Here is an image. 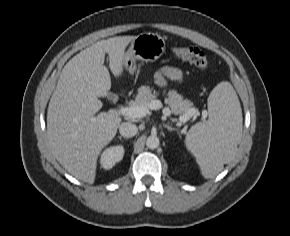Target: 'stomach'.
<instances>
[{"label": "stomach", "instance_id": "stomach-1", "mask_svg": "<svg viewBox=\"0 0 290 236\" xmlns=\"http://www.w3.org/2000/svg\"><path fill=\"white\" fill-rule=\"evenodd\" d=\"M164 39L155 33H141L130 43L125 53L124 67L133 74L136 70V61L152 62L159 59L165 52Z\"/></svg>", "mask_w": 290, "mask_h": 236}]
</instances>
